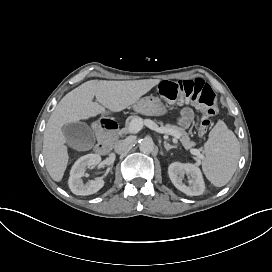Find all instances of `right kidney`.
I'll use <instances>...</instances> for the list:
<instances>
[{"mask_svg": "<svg viewBox=\"0 0 272 272\" xmlns=\"http://www.w3.org/2000/svg\"><path fill=\"white\" fill-rule=\"evenodd\" d=\"M101 161V156L98 154H87L80 157L70 170L68 185L70 190L75 195H91L99 191L104 186V181L101 178L90 180L86 184L83 183L82 177L85 174L86 168H94Z\"/></svg>", "mask_w": 272, "mask_h": 272, "instance_id": "1", "label": "right kidney"}]
</instances>
